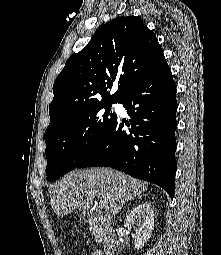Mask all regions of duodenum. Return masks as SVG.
Here are the masks:
<instances>
[{
  "instance_id": "duodenum-1",
  "label": "duodenum",
  "mask_w": 221,
  "mask_h": 255,
  "mask_svg": "<svg viewBox=\"0 0 221 255\" xmlns=\"http://www.w3.org/2000/svg\"><path fill=\"white\" fill-rule=\"evenodd\" d=\"M83 220L97 229L105 255H115L117 251V235L108 218L100 213L86 211L83 214Z\"/></svg>"
}]
</instances>
